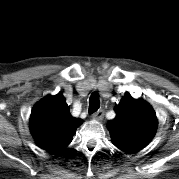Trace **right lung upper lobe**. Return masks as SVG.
<instances>
[{"label": "right lung upper lobe", "instance_id": "1", "mask_svg": "<svg viewBox=\"0 0 179 179\" xmlns=\"http://www.w3.org/2000/svg\"><path fill=\"white\" fill-rule=\"evenodd\" d=\"M82 122L71 116L64 96L58 93L35 104L30 116V132L40 148L58 153L70 144Z\"/></svg>", "mask_w": 179, "mask_h": 179}]
</instances>
